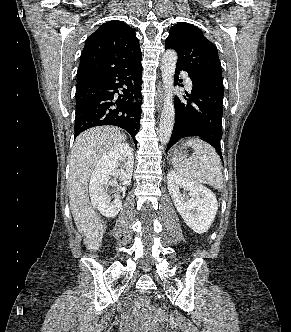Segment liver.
Returning a JSON list of instances; mask_svg holds the SVG:
<instances>
[{
  "mask_svg": "<svg viewBox=\"0 0 291 332\" xmlns=\"http://www.w3.org/2000/svg\"><path fill=\"white\" fill-rule=\"evenodd\" d=\"M126 140L118 128L101 126L81 133L74 143L69 173L70 209L76 227L84 236L87 248L98 250L104 227L88 196V182L102 157Z\"/></svg>",
  "mask_w": 291,
  "mask_h": 332,
  "instance_id": "6515ba94",
  "label": "liver"
}]
</instances>
